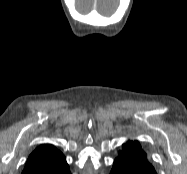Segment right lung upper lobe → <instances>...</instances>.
Wrapping results in <instances>:
<instances>
[{
    "mask_svg": "<svg viewBox=\"0 0 187 174\" xmlns=\"http://www.w3.org/2000/svg\"><path fill=\"white\" fill-rule=\"evenodd\" d=\"M68 168L59 150L51 145H41L29 156L22 174H62Z\"/></svg>",
    "mask_w": 187,
    "mask_h": 174,
    "instance_id": "cb5924a9",
    "label": "right lung upper lobe"
}]
</instances>
